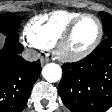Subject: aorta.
Here are the masks:
<instances>
[{
    "instance_id": "aorta-1",
    "label": "aorta",
    "mask_w": 112,
    "mask_h": 112,
    "mask_svg": "<svg viewBox=\"0 0 112 112\" xmlns=\"http://www.w3.org/2000/svg\"><path fill=\"white\" fill-rule=\"evenodd\" d=\"M42 76L48 82H57L62 77V69L56 63H47L42 69Z\"/></svg>"
}]
</instances>
